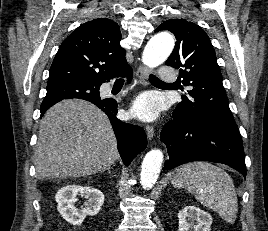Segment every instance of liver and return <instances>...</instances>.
Masks as SVG:
<instances>
[{
  "label": "liver",
  "mask_w": 268,
  "mask_h": 231,
  "mask_svg": "<svg viewBox=\"0 0 268 231\" xmlns=\"http://www.w3.org/2000/svg\"><path fill=\"white\" fill-rule=\"evenodd\" d=\"M118 157L110 121L92 103L64 100L44 114L34 159L37 179L90 176Z\"/></svg>",
  "instance_id": "6515ba94"
}]
</instances>
